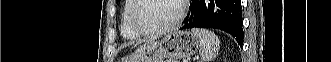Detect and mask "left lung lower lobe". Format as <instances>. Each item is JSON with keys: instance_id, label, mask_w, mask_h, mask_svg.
<instances>
[{"instance_id": "obj_1", "label": "left lung lower lobe", "mask_w": 331, "mask_h": 62, "mask_svg": "<svg viewBox=\"0 0 331 62\" xmlns=\"http://www.w3.org/2000/svg\"><path fill=\"white\" fill-rule=\"evenodd\" d=\"M191 14L181 29L216 28L231 34L242 47L241 0H192Z\"/></svg>"}]
</instances>
